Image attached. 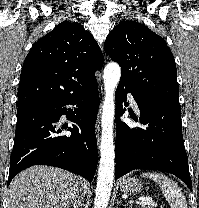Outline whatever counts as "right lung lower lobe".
Wrapping results in <instances>:
<instances>
[{"instance_id":"1","label":"right lung lower lobe","mask_w":199,"mask_h":208,"mask_svg":"<svg viewBox=\"0 0 199 208\" xmlns=\"http://www.w3.org/2000/svg\"><path fill=\"white\" fill-rule=\"evenodd\" d=\"M67 105L74 109L66 108ZM98 109L96 80L69 96L18 109L7 186L20 171L39 164L63 168L91 181L98 159ZM62 115L74 123L72 128L59 124ZM63 130L71 134L60 135Z\"/></svg>"}]
</instances>
